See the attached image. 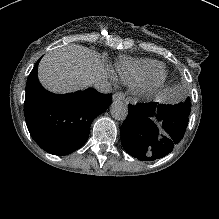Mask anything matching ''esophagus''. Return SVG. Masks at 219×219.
<instances>
[{"label":"esophagus","mask_w":219,"mask_h":219,"mask_svg":"<svg viewBox=\"0 0 219 219\" xmlns=\"http://www.w3.org/2000/svg\"><path fill=\"white\" fill-rule=\"evenodd\" d=\"M124 99H125V96L121 92H117L113 95V101H120V100H124Z\"/></svg>","instance_id":"1"}]
</instances>
